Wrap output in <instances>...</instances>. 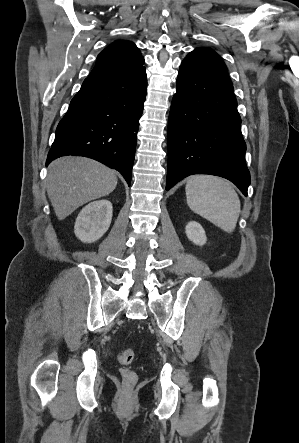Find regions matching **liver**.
<instances>
[{"label":"liver","mask_w":299,"mask_h":443,"mask_svg":"<svg viewBox=\"0 0 299 443\" xmlns=\"http://www.w3.org/2000/svg\"><path fill=\"white\" fill-rule=\"evenodd\" d=\"M116 185L115 172L89 158L64 156L48 167L47 194L59 220L87 202L110 194Z\"/></svg>","instance_id":"6515ba94"}]
</instances>
